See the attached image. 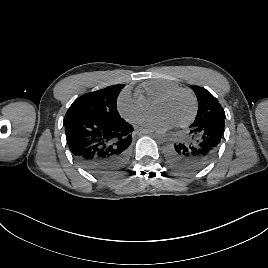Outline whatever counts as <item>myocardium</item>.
Returning a JSON list of instances; mask_svg holds the SVG:
<instances>
[{
    "label": "myocardium",
    "instance_id": "myocardium-1",
    "mask_svg": "<svg viewBox=\"0 0 268 268\" xmlns=\"http://www.w3.org/2000/svg\"><path fill=\"white\" fill-rule=\"evenodd\" d=\"M179 93H185L191 100V103H192V110H191V113L190 115L183 121H181L180 123L176 124L177 127H186L188 126L196 117L197 115V111H198V102H197V98L196 96L194 95V93L188 89V88H185V87H176L174 89H171L170 91L166 92L164 95H162L154 104V112H156V107L171 99L172 97H174L175 95L179 94Z\"/></svg>",
    "mask_w": 268,
    "mask_h": 268
}]
</instances>
